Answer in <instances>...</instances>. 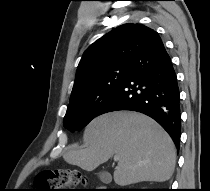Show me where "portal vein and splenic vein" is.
I'll use <instances>...</instances> for the list:
<instances>
[{
	"instance_id": "18ae733b",
	"label": "portal vein and splenic vein",
	"mask_w": 210,
	"mask_h": 191,
	"mask_svg": "<svg viewBox=\"0 0 210 191\" xmlns=\"http://www.w3.org/2000/svg\"><path fill=\"white\" fill-rule=\"evenodd\" d=\"M114 160H115V161L119 160V156H118V155H115V156H114Z\"/></svg>"
}]
</instances>
